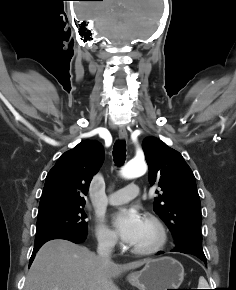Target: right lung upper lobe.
I'll return each instance as SVG.
<instances>
[{"instance_id": "right-lung-upper-lobe-1", "label": "right lung upper lobe", "mask_w": 236, "mask_h": 290, "mask_svg": "<svg viewBox=\"0 0 236 290\" xmlns=\"http://www.w3.org/2000/svg\"><path fill=\"white\" fill-rule=\"evenodd\" d=\"M103 160V148L96 141H82L65 152L47 174L39 209L85 205L83 195Z\"/></svg>"}]
</instances>
